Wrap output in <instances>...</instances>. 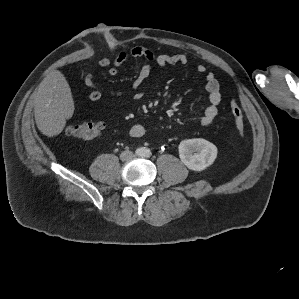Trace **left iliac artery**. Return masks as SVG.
<instances>
[{"mask_svg":"<svg viewBox=\"0 0 299 299\" xmlns=\"http://www.w3.org/2000/svg\"><path fill=\"white\" fill-rule=\"evenodd\" d=\"M144 156H145V157H150V156H151V152H150V150L146 149V150L144 151Z\"/></svg>","mask_w":299,"mask_h":299,"instance_id":"1","label":"left iliac artery"}]
</instances>
